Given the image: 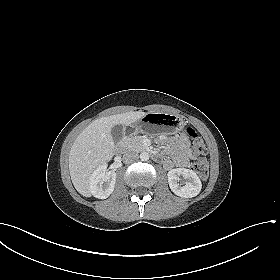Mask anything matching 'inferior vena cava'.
I'll list each match as a JSON object with an SVG mask.
<instances>
[{
    "instance_id": "obj_1",
    "label": "inferior vena cava",
    "mask_w": 280,
    "mask_h": 280,
    "mask_svg": "<svg viewBox=\"0 0 280 280\" xmlns=\"http://www.w3.org/2000/svg\"><path fill=\"white\" fill-rule=\"evenodd\" d=\"M139 158L138 154L133 151H128L123 155V161L125 163H132Z\"/></svg>"
}]
</instances>
